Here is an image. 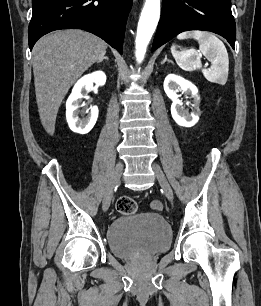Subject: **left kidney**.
I'll return each instance as SVG.
<instances>
[{
  "instance_id": "left-kidney-1",
  "label": "left kidney",
  "mask_w": 261,
  "mask_h": 306,
  "mask_svg": "<svg viewBox=\"0 0 261 306\" xmlns=\"http://www.w3.org/2000/svg\"><path fill=\"white\" fill-rule=\"evenodd\" d=\"M181 90L185 93H189L194 98L192 107L193 111L188 113L183 110L181 107L182 103L178 99V91ZM164 91L166 95L172 100L171 105V115L174 121L183 127H192L198 120L200 115V97L198 95L197 87L192 84L190 81L185 80L184 78L170 74L165 78L164 81Z\"/></svg>"
}]
</instances>
